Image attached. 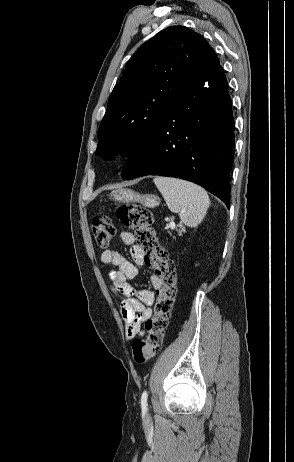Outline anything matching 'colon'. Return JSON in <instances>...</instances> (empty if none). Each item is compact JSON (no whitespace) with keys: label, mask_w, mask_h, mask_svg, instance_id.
<instances>
[{"label":"colon","mask_w":294,"mask_h":462,"mask_svg":"<svg viewBox=\"0 0 294 462\" xmlns=\"http://www.w3.org/2000/svg\"><path fill=\"white\" fill-rule=\"evenodd\" d=\"M115 214L124 226L135 233L137 246L143 253V262L154 270L161 282L153 313L145 321L146 336L132 343L135 362L144 364L156 355L162 345L177 293L176 272L167 250L157 239L153 216L148 209L139 204H126L117 207ZM91 229L101 248H106L115 234L112 219L107 215L94 216Z\"/></svg>","instance_id":"5ec220e1"}]
</instances>
